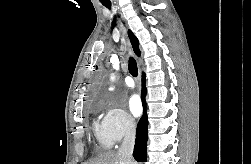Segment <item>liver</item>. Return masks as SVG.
<instances>
[{"instance_id":"obj_1","label":"liver","mask_w":251,"mask_h":164,"mask_svg":"<svg viewBox=\"0 0 251 164\" xmlns=\"http://www.w3.org/2000/svg\"><path fill=\"white\" fill-rule=\"evenodd\" d=\"M87 164H125L118 152H107L99 155L95 161ZM136 164V163H133Z\"/></svg>"}]
</instances>
